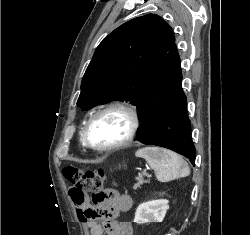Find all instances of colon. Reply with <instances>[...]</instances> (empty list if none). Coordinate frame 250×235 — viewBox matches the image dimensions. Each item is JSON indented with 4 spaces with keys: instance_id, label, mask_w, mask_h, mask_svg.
Listing matches in <instances>:
<instances>
[{
    "instance_id": "obj_1",
    "label": "colon",
    "mask_w": 250,
    "mask_h": 235,
    "mask_svg": "<svg viewBox=\"0 0 250 235\" xmlns=\"http://www.w3.org/2000/svg\"><path fill=\"white\" fill-rule=\"evenodd\" d=\"M63 174L70 184L69 193L76 206L84 204L88 194L91 195L95 206L106 201L107 181L103 170H82L77 166L68 165L64 168ZM90 216L95 217L96 213L91 212Z\"/></svg>"
}]
</instances>
